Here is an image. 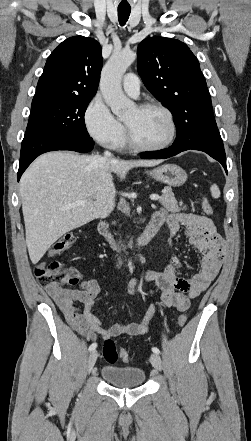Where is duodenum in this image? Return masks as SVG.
Masks as SVG:
<instances>
[{
  "label": "duodenum",
  "instance_id": "410a0bca",
  "mask_svg": "<svg viewBox=\"0 0 251 441\" xmlns=\"http://www.w3.org/2000/svg\"><path fill=\"white\" fill-rule=\"evenodd\" d=\"M160 226L161 222L155 217H152L143 233L136 239L135 244L138 246H142L150 242L153 237L158 233ZM98 231L100 235H102L114 249L122 248V246L115 240V238L104 223L99 224Z\"/></svg>",
  "mask_w": 251,
  "mask_h": 441
}]
</instances>
